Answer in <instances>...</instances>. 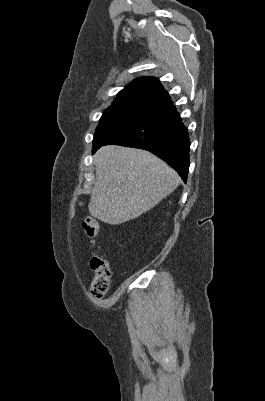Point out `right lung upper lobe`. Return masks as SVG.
<instances>
[{
	"label": "right lung upper lobe",
	"instance_id": "right-lung-upper-lobe-1",
	"mask_svg": "<svg viewBox=\"0 0 265 401\" xmlns=\"http://www.w3.org/2000/svg\"><path fill=\"white\" fill-rule=\"evenodd\" d=\"M130 103H148L166 107L172 104V101L157 78L141 77L121 90L112 105Z\"/></svg>",
	"mask_w": 265,
	"mask_h": 401
}]
</instances>
